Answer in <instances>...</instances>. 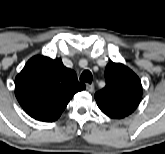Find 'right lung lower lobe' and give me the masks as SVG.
<instances>
[{"label":"right lung lower lobe","mask_w":165,"mask_h":154,"mask_svg":"<svg viewBox=\"0 0 165 154\" xmlns=\"http://www.w3.org/2000/svg\"><path fill=\"white\" fill-rule=\"evenodd\" d=\"M61 115V114H60ZM60 115H57L56 117L52 118V119H49L47 120L46 122H52V121H55L59 118Z\"/></svg>","instance_id":"obj_1"}]
</instances>
